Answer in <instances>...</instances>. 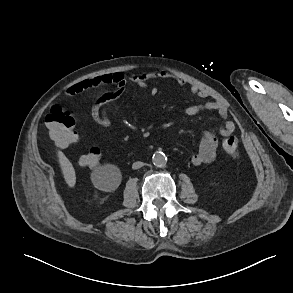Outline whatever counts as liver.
Masks as SVG:
<instances>
[{"instance_id": "6515ba94", "label": "liver", "mask_w": 293, "mask_h": 293, "mask_svg": "<svg viewBox=\"0 0 293 293\" xmlns=\"http://www.w3.org/2000/svg\"><path fill=\"white\" fill-rule=\"evenodd\" d=\"M59 164L64 176V179L69 187H74L76 183L75 170L72 163L61 151L58 152Z\"/></svg>"}]
</instances>
